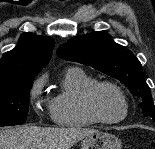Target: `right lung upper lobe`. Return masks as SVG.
Wrapping results in <instances>:
<instances>
[{
    "label": "right lung upper lobe",
    "instance_id": "1",
    "mask_svg": "<svg viewBox=\"0 0 155 149\" xmlns=\"http://www.w3.org/2000/svg\"><path fill=\"white\" fill-rule=\"evenodd\" d=\"M54 44L53 38L23 33L17 46L3 54L0 78L36 76L49 62Z\"/></svg>",
    "mask_w": 155,
    "mask_h": 149
}]
</instances>
